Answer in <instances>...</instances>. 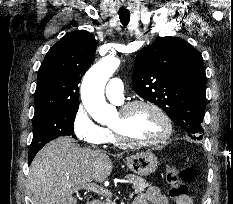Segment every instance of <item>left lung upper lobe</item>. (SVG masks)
<instances>
[{
    "instance_id": "obj_1",
    "label": "left lung upper lobe",
    "mask_w": 233,
    "mask_h": 204,
    "mask_svg": "<svg viewBox=\"0 0 233 204\" xmlns=\"http://www.w3.org/2000/svg\"><path fill=\"white\" fill-rule=\"evenodd\" d=\"M133 88L194 139H202L206 74L198 50L178 37H160L136 56Z\"/></svg>"
}]
</instances>
